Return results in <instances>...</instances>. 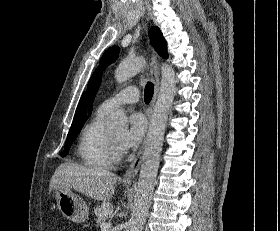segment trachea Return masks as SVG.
I'll use <instances>...</instances> for the list:
<instances>
[{
    "instance_id": "trachea-1",
    "label": "trachea",
    "mask_w": 280,
    "mask_h": 231,
    "mask_svg": "<svg viewBox=\"0 0 280 231\" xmlns=\"http://www.w3.org/2000/svg\"><path fill=\"white\" fill-rule=\"evenodd\" d=\"M154 93V85L152 83H147L145 86V91H144V100L145 103H149L150 100L153 97Z\"/></svg>"
}]
</instances>
